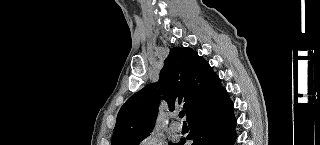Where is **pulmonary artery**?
Listing matches in <instances>:
<instances>
[{"label":"pulmonary artery","mask_w":320,"mask_h":145,"mask_svg":"<svg viewBox=\"0 0 320 145\" xmlns=\"http://www.w3.org/2000/svg\"><path fill=\"white\" fill-rule=\"evenodd\" d=\"M176 117V115H174ZM171 129L175 132H180L182 130V124L178 121H174L171 124Z\"/></svg>","instance_id":"1"}]
</instances>
